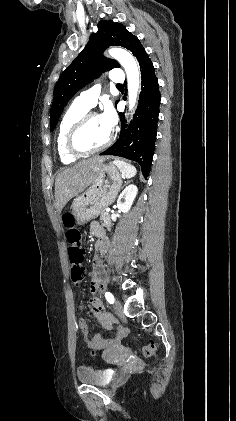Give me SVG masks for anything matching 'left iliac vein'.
<instances>
[{"instance_id": "left-iliac-vein-1", "label": "left iliac vein", "mask_w": 236, "mask_h": 421, "mask_svg": "<svg viewBox=\"0 0 236 421\" xmlns=\"http://www.w3.org/2000/svg\"><path fill=\"white\" fill-rule=\"evenodd\" d=\"M114 310L117 315H120L122 313V304L118 299L115 300Z\"/></svg>"}]
</instances>
